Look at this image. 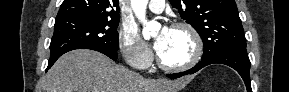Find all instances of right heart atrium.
<instances>
[{
    "label": "right heart atrium",
    "mask_w": 289,
    "mask_h": 92,
    "mask_svg": "<svg viewBox=\"0 0 289 92\" xmlns=\"http://www.w3.org/2000/svg\"><path fill=\"white\" fill-rule=\"evenodd\" d=\"M118 41L124 59L131 66L145 69L151 64L152 53L133 26L124 25L119 31Z\"/></svg>",
    "instance_id": "1"
}]
</instances>
